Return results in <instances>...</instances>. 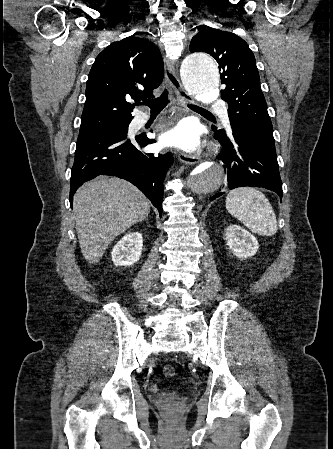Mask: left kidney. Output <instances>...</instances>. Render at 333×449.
Instances as JSON below:
<instances>
[{"label": "left kidney", "mask_w": 333, "mask_h": 449, "mask_svg": "<svg viewBox=\"0 0 333 449\" xmlns=\"http://www.w3.org/2000/svg\"><path fill=\"white\" fill-rule=\"evenodd\" d=\"M225 239L232 253L241 259L255 255L259 248L256 238L243 227L236 224L228 226Z\"/></svg>", "instance_id": "1"}]
</instances>
